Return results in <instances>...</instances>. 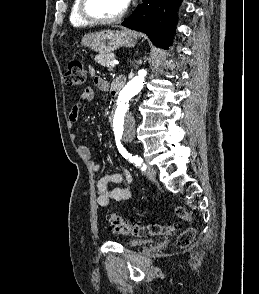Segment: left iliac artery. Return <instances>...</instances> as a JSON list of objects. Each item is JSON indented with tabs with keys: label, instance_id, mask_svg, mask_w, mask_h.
I'll return each mask as SVG.
<instances>
[{
	"label": "left iliac artery",
	"instance_id": "left-iliac-artery-1",
	"mask_svg": "<svg viewBox=\"0 0 259 294\" xmlns=\"http://www.w3.org/2000/svg\"><path fill=\"white\" fill-rule=\"evenodd\" d=\"M117 147L124 158L129 159L130 162H133L136 166H141L142 170L146 169V165L143 164V160L141 157H138L137 155L132 156V154L128 153L127 150L119 143H117Z\"/></svg>",
	"mask_w": 259,
	"mask_h": 294
}]
</instances>
